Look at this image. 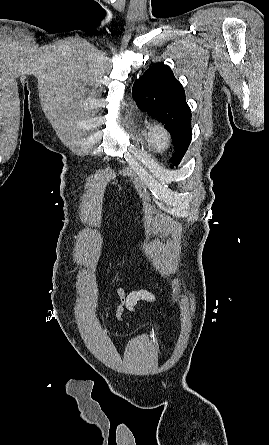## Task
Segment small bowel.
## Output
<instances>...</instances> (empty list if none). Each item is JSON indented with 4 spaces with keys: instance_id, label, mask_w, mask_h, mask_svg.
<instances>
[{
    "instance_id": "c3829d8e",
    "label": "small bowel",
    "mask_w": 269,
    "mask_h": 445,
    "mask_svg": "<svg viewBox=\"0 0 269 445\" xmlns=\"http://www.w3.org/2000/svg\"><path fill=\"white\" fill-rule=\"evenodd\" d=\"M118 305L115 310V317L119 320H125L124 314L126 312L133 313L136 310V306L139 302L144 301L148 303H153L156 301V295L151 290V286L145 283L140 289L126 292L123 287L117 289Z\"/></svg>"
}]
</instances>
